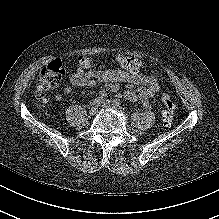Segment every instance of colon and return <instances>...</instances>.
<instances>
[{"label":"colon","instance_id":"5ec220e1","mask_svg":"<svg viewBox=\"0 0 219 219\" xmlns=\"http://www.w3.org/2000/svg\"><path fill=\"white\" fill-rule=\"evenodd\" d=\"M84 65L91 66V59L84 60ZM64 74L63 65L60 60L55 59L48 63L40 72L37 85H36V93L38 96H42L45 92L55 89ZM162 101L165 106V112L163 114V125L169 126L174 117L175 110V102L171 95L162 94Z\"/></svg>","mask_w":219,"mask_h":219}]
</instances>
